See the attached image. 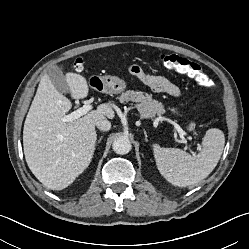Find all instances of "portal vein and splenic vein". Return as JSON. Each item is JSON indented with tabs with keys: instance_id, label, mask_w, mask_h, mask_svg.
<instances>
[{
	"instance_id": "portal-vein-and-splenic-vein-1",
	"label": "portal vein and splenic vein",
	"mask_w": 249,
	"mask_h": 249,
	"mask_svg": "<svg viewBox=\"0 0 249 249\" xmlns=\"http://www.w3.org/2000/svg\"><path fill=\"white\" fill-rule=\"evenodd\" d=\"M92 109V105L91 104H85L83 107L73 111L72 113L68 114V115H65L63 118H62V121L63 122H71L75 119H78L80 118L81 116L85 115L88 111H90ZM162 120H167V121H170L169 119H166V118H162ZM175 128L176 130L178 131L179 135L181 136V141L183 143L186 144L187 146V140L185 139L184 136H187V132H185L179 125L175 124ZM189 139H192L191 136H189ZM190 152L192 154H195L194 151H192L190 149Z\"/></svg>"
}]
</instances>
